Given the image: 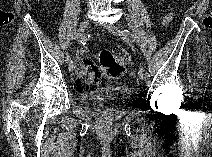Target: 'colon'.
Wrapping results in <instances>:
<instances>
[{
	"label": "colon",
	"mask_w": 212,
	"mask_h": 157,
	"mask_svg": "<svg viewBox=\"0 0 212 157\" xmlns=\"http://www.w3.org/2000/svg\"><path fill=\"white\" fill-rule=\"evenodd\" d=\"M100 64L97 65L91 60L80 68V75L76 83L77 91L83 92L92 86H97L103 78L119 79L130 65L131 59L128 52L121 48L112 50L104 49L99 55Z\"/></svg>",
	"instance_id": "5ec220e1"
}]
</instances>
